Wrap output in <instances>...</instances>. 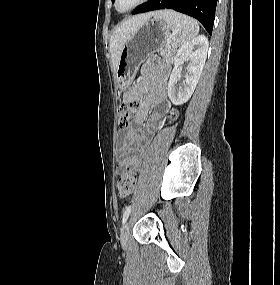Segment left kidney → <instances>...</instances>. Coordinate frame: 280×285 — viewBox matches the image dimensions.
Instances as JSON below:
<instances>
[{"label": "left kidney", "instance_id": "left-kidney-1", "mask_svg": "<svg viewBox=\"0 0 280 285\" xmlns=\"http://www.w3.org/2000/svg\"><path fill=\"white\" fill-rule=\"evenodd\" d=\"M208 46V39L200 35L182 45L177 51L168 83V96L174 105L186 103L193 94L206 61ZM185 61H190L186 68L187 74L183 86L177 87L181 77V65Z\"/></svg>", "mask_w": 280, "mask_h": 285}]
</instances>
